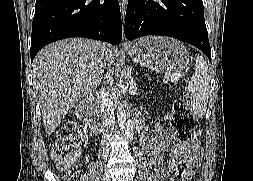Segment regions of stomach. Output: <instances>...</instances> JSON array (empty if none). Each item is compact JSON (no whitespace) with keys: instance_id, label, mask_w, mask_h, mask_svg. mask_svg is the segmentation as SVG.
Segmentation results:
<instances>
[{"instance_id":"1","label":"stomach","mask_w":253,"mask_h":181,"mask_svg":"<svg viewBox=\"0 0 253 181\" xmlns=\"http://www.w3.org/2000/svg\"><path fill=\"white\" fill-rule=\"evenodd\" d=\"M130 57L141 66L165 73H179L189 64V55L180 41L162 36H148L134 42Z\"/></svg>"}]
</instances>
